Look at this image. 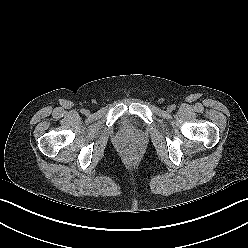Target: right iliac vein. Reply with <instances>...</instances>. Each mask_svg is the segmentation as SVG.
I'll return each mask as SVG.
<instances>
[{
	"mask_svg": "<svg viewBox=\"0 0 248 248\" xmlns=\"http://www.w3.org/2000/svg\"><path fill=\"white\" fill-rule=\"evenodd\" d=\"M88 113H89V111H88V110H86L85 114H88Z\"/></svg>",
	"mask_w": 248,
	"mask_h": 248,
	"instance_id": "1",
	"label": "right iliac vein"
}]
</instances>
